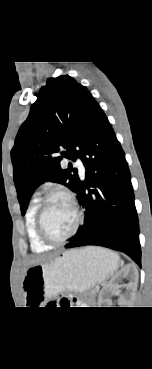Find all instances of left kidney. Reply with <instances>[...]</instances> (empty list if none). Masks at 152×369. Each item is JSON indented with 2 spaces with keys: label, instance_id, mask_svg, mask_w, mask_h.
Segmentation results:
<instances>
[{
  "label": "left kidney",
  "instance_id": "obj_1",
  "mask_svg": "<svg viewBox=\"0 0 152 369\" xmlns=\"http://www.w3.org/2000/svg\"><path fill=\"white\" fill-rule=\"evenodd\" d=\"M130 282L127 284V289L136 290L138 284V271L134 266L127 265L120 272H118L112 280L107 284L106 288L101 290L98 298V307H106L109 305L111 300L110 294L119 295V284L121 278L128 277Z\"/></svg>",
  "mask_w": 152,
  "mask_h": 369
}]
</instances>
